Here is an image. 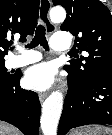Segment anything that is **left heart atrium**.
Returning <instances> with one entry per match:
<instances>
[{
  "mask_svg": "<svg viewBox=\"0 0 112 135\" xmlns=\"http://www.w3.org/2000/svg\"><path fill=\"white\" fill-rule=\"evenodd\" d=\"M55 80V70L47 63L29 68L24 76L25 86L37 91H45L49 89L54 84Z\"/></svg>",
  "mask_w": 112,
  "mask_h": 135,
  "instance_id": "39dd6f15",
  "label": "left heart atrium"
}]
</instances>
